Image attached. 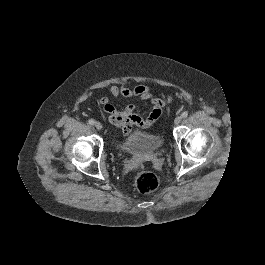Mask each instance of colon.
Masks as SVG:
<instances>
[{
    "label": "colon",
    "mask_w": 265,
    "mask_h": 265,
    "mask_svg": "<svg viewBox=\"0 0 265 265\" xmlns=\"http://www.w3.org/2000/svg\"><path fill=\"white\" fill-rule=\"evenodd\" d=\"M170 98H167V101L169 102ZM123 133L126 135L129 132L127 130H124ZM159 184L158 177L150 171H143L140 172L135 179V187L136 189L141 193H150L154 191Z\"/></svg>",
    "instance_id": "1"
}]
</instances>
